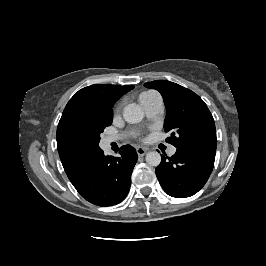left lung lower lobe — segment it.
<instances>
[{"label":"left lung lower lobe","mask_w":266,"mask_h":266,"mask_svg":"<svg viewBox=\"0 0 266 266\" xmlns=\"http://www.w3.org/2000/svg\"><path fill=\"white\" fill-rule=\"evenodd\" d=\"M215 153L216 148H177L170 158L162 156L155 172L164 191L176 198L197 193L213 170Z\"/></svg>","instance_id":"1"}]
</instances>
